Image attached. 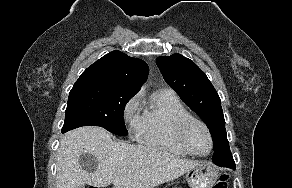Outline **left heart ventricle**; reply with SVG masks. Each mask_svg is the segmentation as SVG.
Wrapping results in <instances>:
<instances>
[{
  "instance_id": "left-heart-ventricle-1",
  "label": "left heart ventricle",
  "mask_w": 292,
  "mask_h": 188,
  "mask_svg": "<svg viewBox=\"0 0 292 188\" xmlns=\"http://www.w3.org/2000/svg\"><path fill=\"white\" fill-rule=\"evenodd\" d=\"M187 140L194 151L204 154L209 150V138L202 126L192 124L187 131Z\"/></svg>"
}]
</instances>
